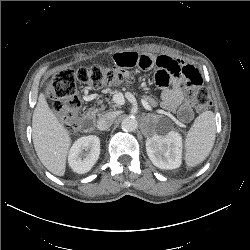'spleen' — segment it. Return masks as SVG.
Wrapping results in <instances>:
<instances>
[{"label": "spleen", "instance_id": "1", "mask_svg": "<svg viewBox=\"0 0 250 250\" xmlns=\"http://www.w3.org/2000/svg\"><path fill=\"white\" fill-rule=\"evenodd\" d=\"M215 134V115L212 111H205L195 119L185 139L187 166H197L207 158L213 148Z\"/></svg>", "mask_w": 250, "mask_h": 250}]
</instances>
